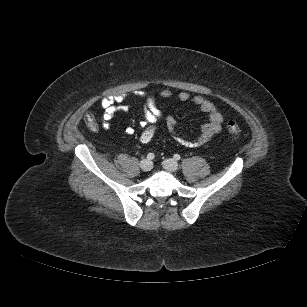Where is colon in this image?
<instances>
[{
	"label": "colon",
	"instance_id": "colon-1",
	"mask_svg": "<svg viewBox=\"0 0 307 307\" xmlns=\"http://www.w3.org/2000/svg\"><path fill=\"white\" fill-rule=\"evenodd\" d=\"M86 123L89 127H93L96 125V121L91 114H88L86 116ZM227 129L232 136L234 137L240 136L241 130L239 128V125L235 121L232 120L229 121L227 123ZM154 133H155L154 126L146 127L140 135V141L142 143H149L153 139Z\"/></svg>",
	"mask_w": 307,
	"mask_h": 307
}]
</instances>
